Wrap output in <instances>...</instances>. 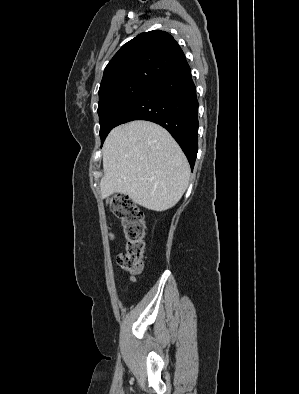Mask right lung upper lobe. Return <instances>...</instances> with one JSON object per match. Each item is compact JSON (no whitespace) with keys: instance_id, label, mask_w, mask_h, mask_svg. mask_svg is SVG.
Returning a JSON list of instances; mask_svg holds the SVG:
<instances>
[{"instance_id":"obj_1","label":"right lung upper lobe","mask_w":299,"mask_h":394,"mask_svg":"<svg viewBox=\"0 0 299 394\" xmlns=\"http://www.w3.org/2000/svg\"><path fill=\"white\" fill-rule=\"evenodd\" d=\"M186 61L185 55L165 31L144 32L126 44L104 69L99 94L126 83L152 84Z\"/></svg>"}]
</instances>
